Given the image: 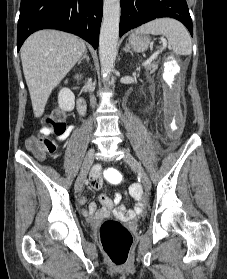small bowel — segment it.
<instances>
[{"label": "small bowel", "mask_w": 227, "mask_h": 279, "mask_svg": "<svg viewBox=\"0 0 227 279\" xmlns=\"http://www.w3.org/2000/svg\"><path fill=\"white\" fill-rule=\"evenodd\" d=\"M72 129H73V126H69L64 132H61L58 135V139L64 140L69 135V133L72 131ZM49 132L50 131L48 129H44L42 131V133L46 134V135L49 134ZM113 169L114 168H105V169L97 168L89 177V185L92 188L100 189L102 187L103 181L107 180V177H106L107 173ZM130 192L133 194L140 193V186L137 184L132 185L130 187ZM100 200L104 207V210L108 211V210H111L115 205L118 204V202L120 200V194L116 193L112 199L106 195H101ZM86 202H87L86 196H81L79 198L80 204L85 205ZM142 207H143V205L139 204L137 208H138V210H140ZM98 211H99V208L96 204H91L88 207H85L82 209V212L84 215H95L98 213ZM120 212L125 213L126 211L123 207H121ZM126 213H128V212H126Z\"/></svg>", "instance_id": "1"}]
</instances>
